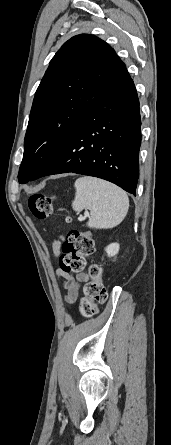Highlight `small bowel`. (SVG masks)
Instances as JSON below:
<instances>
[{"label":"small bowel","instance_id":"obj_1","mask_svg":"<svg viewBox=\"0 0 171 445\" xmlns=\"http://www.w3.org/2000/svg\"><path fill=\"white\" fill-rule=\"evenodd\" d=\"M63 237L56 239L52 243V253L55 257L62 254ZM56 274L63 281V287L66 290L65 300L68 303H73L79 296L81 287L89 279V274L86 272L67 273L60 268L56 270Z\"/></svg>","mask_w":171,"mask_h":445}]
</instances>
